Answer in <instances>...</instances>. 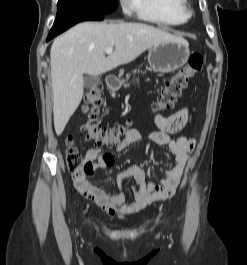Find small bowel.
<instances>
[{"label":"small bowel","mask_w":247,"mask_h":265,"mask_svg":"<svg viewBox=\"0 0 247 265\" xmlns=\"http://www.w3.org/2000/svg\"><path fill=\"white\" fill-rule=\"evenodd\" d=\"M189 108L183 107L168 117L156 114L155 123L158 131L150 133L146 138L147 144L168 146L175 156L173 166L167 172L165 178L159 183L146 182L145 170L140 165H130L116 176L118 191L109 192L93 185L87 180V176L95 169H104L114 163V157L110 153H102L99 148H92L86 152L84 164L91 167L86 173L83 170L72 173V180L76 190L84 197L94 201L99 207L110 215L132 214L143 210L155 201L167 199L174 195L180 183L184 168L190 153L195 147V140L184 136L173 137L181 131L189 120ZM140 135L131 130L119 151L125 150L131 144L139 141ZM126 179L133 180V199L128 200L123 191Z\"/></svg>","instance_id":"1"}]
</instances>
